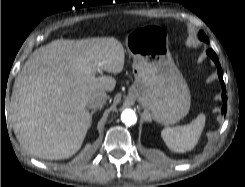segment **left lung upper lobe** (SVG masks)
Wrapping results in <instances>:
<instances>
[{"label":"left lung upper lobe","instance_id":"left-lung-upper-lobe-1","mask_svg":"<svg viewBox=\"0 0 245 187\" xmlns=\"http://www.w3.org/2000/svg\"><path fill=\"white\" fill-rule=\"evenodd\" d=\"M199 39L202 40V41H204V42H208V38H207V36L204 34L203 31H200V32H199Z\"/></svg>","mask_w":245,"mask_h":187}]
</instances>
